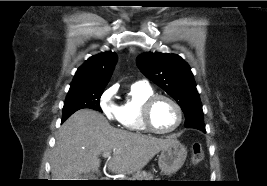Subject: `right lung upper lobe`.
Wrapping results in <instances>:
<instances>
[{"instance_id":"1","label":"right lung upper lobe","mask_w":267,"mask_h":186,"mask_svg":"<svg viewBox=\"0 0 267 186\" xmlns=\"http://www.w3.org/2000/svg\"><path fill=\"white\" fill-rule=\"evenodd\" d=\"M116 62L117 54L111 51L90 57L76 71L69 91L104 89L111 77Z\"/></svg>"}]
</instances>
